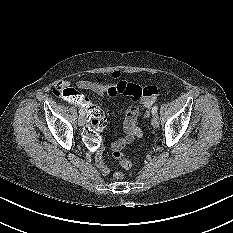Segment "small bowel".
<instances>
[{"label": "small bowel", "mask_w": 233, "mask_h": 233, "mask_svg": "<svg viewBox=\"0 0 233 233\" xmlns=\"http://www.w3.org/2000/svg\"><path fill=\"white\" fill-rule=\"evenodd\" d=\"M120 77L119 72H113L110 74L109 79L112 81H87L80 80L77 83V87L84 91L93 92L99 96H111L115 97L117 95H125L129 97V103L125 111L124 116V135L118 138L111 144L112 152H121L122 149L130 144L134 138H139L142 136V130L137 124V118L139 113V106L144 108L150 107L155 101L157 95L148 96L145 94L146 88L153 87H141L137 84L119 81L114 82ZM56 88H70L69 81H61ZM82 97V96H81ZM65 98V97H64ZM103 146L98 148L95 160L96 165L103 175H108L110 173V168L106 164L102 156Z\"/></svg>", "instance_id": "c3829d8e"}]
</instances>
